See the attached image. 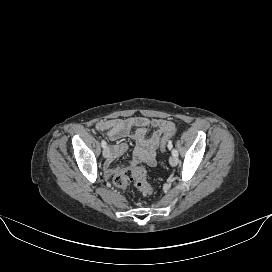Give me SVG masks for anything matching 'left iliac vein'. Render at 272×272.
<instances>
[{
    "label": "left iliac vein",
    "instance_id": "4c4485c4",
    "mask_svg": "<svg viewBox=\"0 0 272 272\" xmlns=\"http://www.w3.org/2000/svg\"><path fill=\"white\" fill-rule=\"evenodd\" d=\"M169 163L171 166H176L178 164V158L176 156H171L169 158Z\"/></svg>",
    "mask_w": 272,
    "mask_h": 272
}]
</instances>
